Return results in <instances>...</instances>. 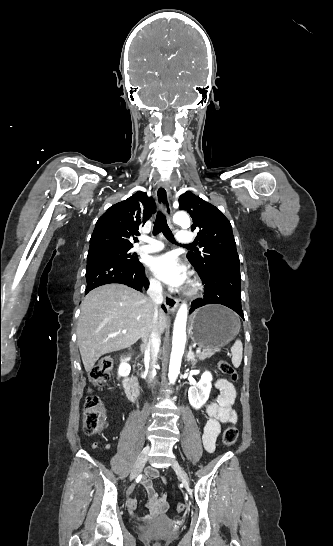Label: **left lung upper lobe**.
Masks as SVG:
<instances>
[{"label": "left lung upper lobe", "instance_id": "1", "mask_svg": "<svg viewBox=\"0 0 333 546\" xmlns=\"http://www.w3.org/2000/svg\"><path fill=\"white\" fill-rule=\"evenodd\" d=\"M179 209L186 210L192 217L191 230H198L196 242L203 251L194 250L187 257L199 276L207 279L218 271L239 269L232 227L221 211L190 191L179 197Z\"/></svg>", "mask_w": 333, "mask_h": 546}]
</instances>
